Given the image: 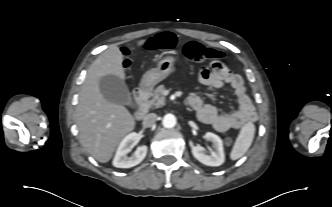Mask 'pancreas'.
Returning <instances> with one entry per match:
<instances>
[{
  "mask_svg": "<svg viewBox=\"0 0 332 207\" xmlns=\"http://www.w3.org/2000/svg\"><path fill=\"white\" fill-rule=\"evenodd\" d=\"M165 87L163 85L158 86L150 95L151 99L147 101L149 107L159 108L165 104L164 96Z\"/></svg>",
  "mask_w": 332,
  "mask_h": 207,
  "instance_id": "cf45deb5",
  "label": "pancreas"
}]
</instances>
